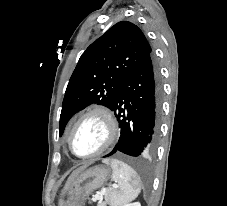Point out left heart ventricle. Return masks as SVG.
<instances>
[{"mask_svg": "<svg viewBox=\"0 0 227 206\" xmlns=\"http://www.w3.org/2000/svg\"><path fill=\"white\" fill-rule=\"evenodd\" d=\"M106 138V126L98 116L84 119L74 130L71 148L77 155L89 154L98 149Z\"/></svg>", "mask_w": 227, "mask_h": 206, "instance_id": "left-heart-ventricle-1", "label": "left heart ventricle"}]
</instances>
